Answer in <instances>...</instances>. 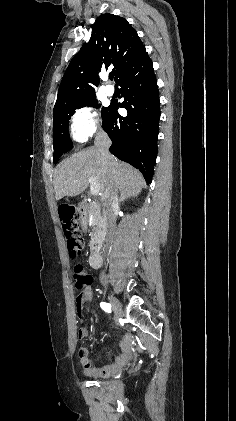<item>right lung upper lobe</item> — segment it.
I'll return each mask as SVG.
<instances>
[{"instance_id":"right-lung-upper-lobe-1","label":"right lung upper lobe","mask_w":236,"mask_h":421,"mask_svg":"<svg viewBox=\"0 0 236 421\" xmlns=\"http://www.w3.org/2000/svg\"><path fill=\"white\" fill-rule=\"evenodd\" d=\"M147 55L137 32L126 19L102 14L92 26L88 43L73 57L61 81L54 109L95 96L97 72L109 67L119 74Z\"/></svg>"}]
</instances>
